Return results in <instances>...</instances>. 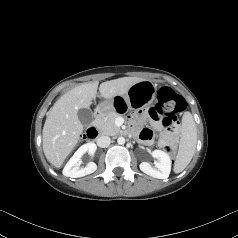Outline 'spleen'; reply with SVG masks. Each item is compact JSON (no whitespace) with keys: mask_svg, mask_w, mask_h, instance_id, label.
Here are the masks:
<instances>
[{"mask_svg":"<svg viewBox=\"0 0 238 238\" xmlns=\"http://www.w3.org/2000/svg\"><path fill=\"white\" fill-rule=\"evenodd\" d=\"M197 144V130L190 112H185L182 117V136L179 150L174 164V172H182L192 160Z\"/></svg>","mask_w":238,"mask_h":238,"instance_id":"obj_1","label":"spleen"}]
</instances>
